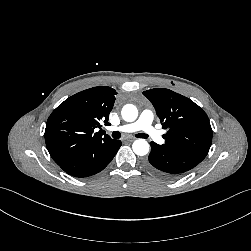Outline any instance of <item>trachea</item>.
Returning a JSON list of instances; mask_svg holds the SVG:
<instances>
[{"mask_svg":"<svg viewBox=\"0 0 251 251\" xmlns=\"http://www.w3.org/2000/svg\"><path fill=\"white\" fill-rule=\"evenodd\" d=\"M112 137H113L114 139H119V138L121 137V133L118 132V131H114V132L112 133ZM136 137L144 138V139L148 138V136H147L146 134H144V133L136 134Z\"/></svg>","mask_w":251,"mask_h":251,"instance_id":"trachea-1","label":"trachea"}]
</instances>
